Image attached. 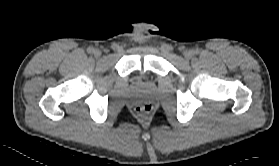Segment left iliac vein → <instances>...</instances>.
I'll return each mask as SVG.
<instances>
[{"label": "left iliac vein", "instance_id": "1", "mask_svg": "<svg viewBox=\"0 0 279 166\" xmlns=\"http://www.w3.org/2000/svg\"><path fill=\"white\" fill-rule=\"evenodd\" d=\"M183 55H184L185 58L189 59V58L192 57L193 53L190 50H185Z\"/></svg>", "mask_w": 279, "mask_h": 166}]
</instances>
